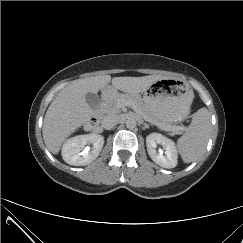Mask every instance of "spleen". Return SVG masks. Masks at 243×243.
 <instances>
[{
    "label": "spleen",
    "mask_w": 243,
    "mask_h": 243,
    "mask_svg": "<svg viewBox=\"0 0 243 243\" xmlns=\"http://www.w3.org/2000/svg\"><path fill=\"white\" fill-rule=\"evenodd\" d=\"M211 128L209 111L200 108L193 114L187 131L177 140V150L185 163L193 162L205 153Z\"/></svg>",
    "instance_id": "3e777b00"
}]
</instances>
